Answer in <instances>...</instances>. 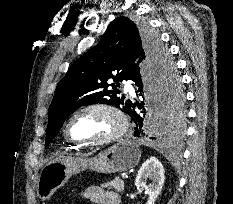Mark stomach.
<instances>
[{
  "mask_svg": "<svg viewBox=\"0 0 233 204\" xmlns=\"http://www.w3.org/2000/svg\"><path fill=\"white\" fill-rule=\"evenodd\" d=\"M141 149L131 140H122L93 158L58 157L48 161L41 169L37 196L45 201L63 186L68 179L81 171L117 173L130 170L138 165Z\"/></svg>",
  "mask_w": 233,
  "mask_h": 204,
  "instance_id": "obj_1",
  "label": "stomach"
}]
</instances>
